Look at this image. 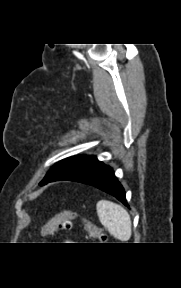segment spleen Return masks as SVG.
I'll use <instances>...</instances> for the list:
<instances>
[{
    "label": "spleen",
    "mask_w": 181,
    "mask_h": 288,
    "mask_svg": "<svg viewBox=\"0 0 181 288\" xmlns=\"http://www.w3.org/2000/svg\"><path fill=\"white\" fill-rule=\"evenodd\" d=\"M97 214L101 224L118 240L128 241L132 234L131 219L128 212L120 205L107 200H100Z\"/></svg>",
    "instance_id": "3e777b00"
}]
</instances>
